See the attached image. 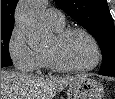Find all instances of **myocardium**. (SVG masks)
Wrapping results in <instances>:
<instances>
[{
    "label": "myocardium",
    "mask_w": 115,
    "mask_h": 99,
    "mask_svg": "<svg viewBox=\"0 0 115 99\" xmlns=\"http://www.w3.org/2000/svg\"><path fill=\"white\" fill-rule=\"evenodd\" d=\"M73 33H80L84 35L92 44L94 50V59L91 64L82 67H71L66 66L58 62L54 54L50 51H45V56L48 62V65L51 69L58 72H66V73H83L88 72L95 69L101 60V50L96 38L86 29L80 27H69L56 32L54 38L57 42H61L66 37Z\"/></svg>",
    "instance_id": "1"
}]
</instances>
